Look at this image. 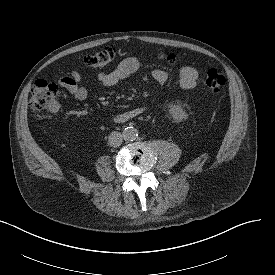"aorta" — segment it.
I'll return each instance as SVG.
<instances>
[{"label": "aorta", "mask_w": 275, "mask_h": 275, "mask_svg": "<svg viewBox=\"0 0 275 275\" xmlns=\"http://www.w3.org/2000/svg\"><path fill=\"white\" fill-rule=\"evenodd\" d=\"M122 135H123V139L125 141H133L137 138L138 136V130L134 127H126L123 132H122Z\"/></svg>", "instance_id": "1"}]
</instances>
